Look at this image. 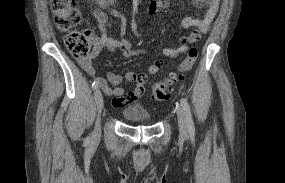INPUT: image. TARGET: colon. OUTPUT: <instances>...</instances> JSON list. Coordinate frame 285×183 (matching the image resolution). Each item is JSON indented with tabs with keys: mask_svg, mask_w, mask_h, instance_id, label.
<instances>
[{
	"mask_svg": "<svg viewBox=\"0 0 285 183\" xmlns=\"http://www.w3.org/2000/svg\"><path fill=\"white\" fill-rule=\"evenodd\" d=\"M51 10L56 27L66 32L64 44L70 54L80 60H86L92 53V48L99 39L92 30H79L77 26L81 22V13L77 9L74 0H51ZM198 49L191 47L187 56L179 67L168 73L163 79L153 84L151 97L156 101H164L169 98L174 86L183 79L195 64L198 58Z\"/></svg>",
	"mask_w": 285,
	"mask_h": 183,
	"instance_id": "colon-1",
	"label": "colon"
}]
</instances>
